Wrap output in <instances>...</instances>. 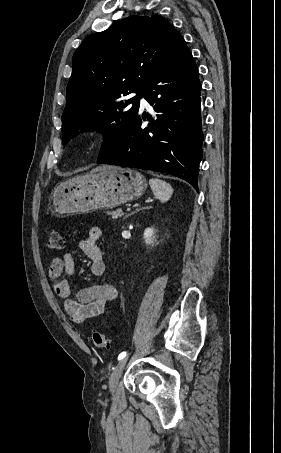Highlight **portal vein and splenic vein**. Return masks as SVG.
Masks as SVG:
<instances>
[{
  "mask_svg": "<svg viewBox=\"0 0 281 453\" xmlns=\"http://www.w3.org/2000/svg\"><path fill=\"white\" fill-rule=\"evenodd\" d=\"M135 208H138V205H135ZM126 210H127V212H129V213H130V212H132V211H133V208L129 206V207H127V209H126Z\"/></svg>",
  "mask_w": 281,
  "mask_h": 453,
  "instance_id": "obj_1",
  "label": "portal vein and splenic vein"
}]
</instances>
